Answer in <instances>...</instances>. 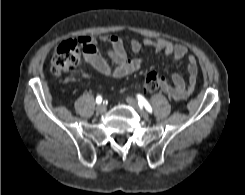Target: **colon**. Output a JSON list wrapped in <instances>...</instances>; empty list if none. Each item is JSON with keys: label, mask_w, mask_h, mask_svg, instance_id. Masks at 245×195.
<instances>
[{"label": "colon", "mask_w": 245, "mask_h": 195, "mask_svg": "<svg viewBox=\"0 0 245 195\" xmlns=\"http://www.w3.org/2000/svg\"><path fill=\"white\" fill-rule=\"evenodd\" d=\"M84 48L75 40H67L60 43L51 58L50 71L54 75H61L74 70L81 59ZM164 79L157 73H149L143 83V89L147 93H153L162 88Z\"/></svg>", "instance_id": "1"}]
</instances>
